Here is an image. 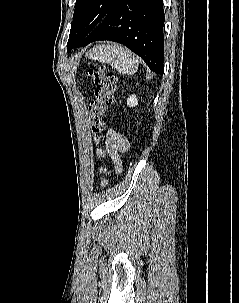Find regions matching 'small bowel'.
Instances as JSON below:
<instances>
[{
    "label": "small bowel",
    "mask_w": 239,
    "mask_h": 303,
    "mask_svg": "<svg viewBox=\"0 0 239 303\" xmlns=\"http://www.w3.org/2000/svg\"><path fill=\"white\" fill-rule=\"evenodd\" d=\"M129 149L126 137L120 133L110 131L105 140V151L112 159L117 171L121 169L120 154Z\"/></svg>",
    "instance_id": "obj_1"
}]
</instances>
